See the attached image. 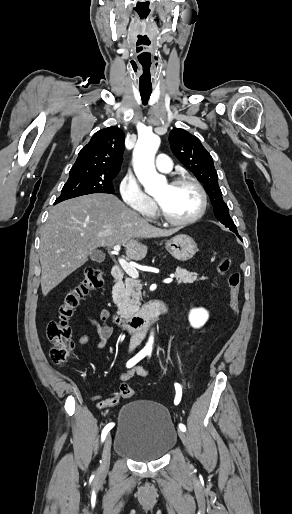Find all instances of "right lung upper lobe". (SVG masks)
I'll return each mask as SVG.
<instances>
[{
  "mask_svg": "<svg viewBox=\"0 0 292 514\" xmlns=\"http://www.w3.org/2000/svg\"><path fill=\"white\" fill-rule=\"evenodd\" d=\"M124 139L118 127L99 130L79 152L70 174L117 175L123 162Z\"/></svg>",
  "mask_w": 292,
  "mask_h": 514,
  "instance_id": "obj_1",
  "label": "right lung upper lobe"
}]
</instances>
